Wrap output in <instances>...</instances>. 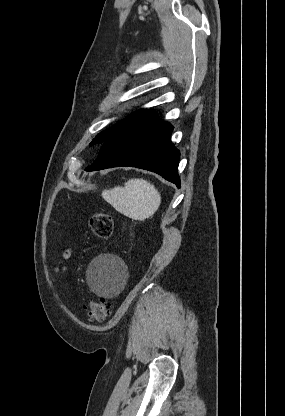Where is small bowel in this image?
<instances>
[{
    "mask_svg": "<svg viewBox=\"0 0 285 416\" xmlns=\"http://www.w3.org/2000/svg\"><path fill=\"white\" fill-rule=\"evenodd\" d=\"M70 250H67L66 252H65V254H64V257L65 258H69V256H70ZM65 268L63 267V268H57L56 269V271L58 272V271H63Z\"/></svg>",
    "mask_w": 285,
    "mask_h": 416,
    "instance_id": "small-bowel-1",
    "label": "small bowel"
}]
</instances>
